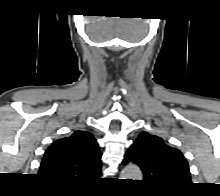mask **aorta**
Returning a JSON list of instances; mask_svg holds the SVG:
<instances>
[{"label":"aorta","instance_id":"1","mask_svg":"<svg viewBox=\"0 0 220 196\" xmlns=\"http://www.w3.org/2000/svg\"><path fill=\"white\" fill-rule=\"evenodd\" d=\"M121 177V179L142 180L143 176L138 166L130 164L123 169Z\"/></svg>","mask_w":220,"mask_h":196}]
</instances>
